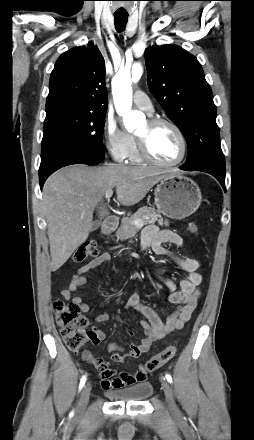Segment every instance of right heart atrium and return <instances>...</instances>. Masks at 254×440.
Returning a JSON list of instances; mask_svg holds the SVG:
<instances>
[{"mask_svg":"<svg viewBox=\"0 0 254 440\" xmlns=\"http://www.w3.org/2000/svg\"><path fill=\"white\" fill-rule=\"evenodd\" d=\"M104 138L106 148L116 160L123 161L129 158L135 144V138L120 128L111 117L105 121Z\"/></svg>","mask_w":254,"mask_h":440,"instance_id":"obj_1","label":"right heart atrium"}]
</instances>
